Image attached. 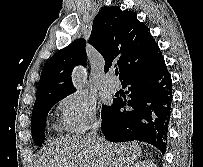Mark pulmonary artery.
Here are the masks:
<instances>
[{
	"label": "pulmonary artery",
	"instance_id": "pulmonary-artery-1",
	"mask_svg": "<svg viewBox=\"0 0 203 167\" xmlns=\"http://www.w3.org/2000/svg\"><path fill=\"white\" fill-rule=\"evenodd\" d=\"M104 86L107 90L111 91V92H115L117 91L119 85L118 82L114 79V77L112 75H109L105 82H104Z\"/></svg>",
	"mask_w": 203,
	"mask_h": 167
}]
</instances>
